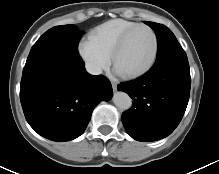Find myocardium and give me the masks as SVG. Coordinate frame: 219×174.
<instances>
[{"label": "myocardium", "mask_w": 219, "mask_h": 174, "mask_svg": "<svg viewBox=\"0 0 219 174\" xmlns=\"http://www.w3.org/2000/svg\"><path fill=\"white\" fill-rule=\"evenodd\" d=\"M147 29L150 31V33L153 36V40H154V51H153V55L151 60L149 61V63L142 69L138 70V71H134V72H120V75L125 78V79H135L138 77H141L143 75H145L147 72H149L153 66L155 65L157 58H158V52H159V39L157 36V33L155 32V30L147 25V24H138L136 26H134L133 28L129 29L128 31H126L122 37L119 39V41L117 42L113 52H112V61H113V65L116 68V62H117V58L120 55V53L123 51L128 39L130 38V36L137 31L138 29Z\"/></svg>", "instance_id": "f54148a6"}]
</instances>
